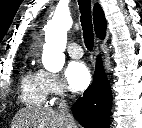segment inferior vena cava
<instances>
[{"label":"inferior vena cava","instance_id":"inferior-vena-cava-1","mask_svg":"<svg viewBox=\"0 0 142 128\" xmlns=\"http://www.w3.org/2000/svg\"><path fill=\"white\" fill-rule=\"evenodd\" d=\"M60 107H61V114L65 117L66 121L70 125H72L73 128H76L77 126L75 124L74 118L70 113H68L67 107H66V104L64 103V101L60 104Z\"/></svg>","mask_w":142,"mask_h":128}]
</instances>
